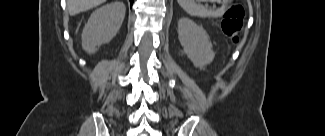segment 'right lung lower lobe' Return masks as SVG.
<instances>
[{
  "instance_id": "right-lung-lower-lobe-1",
  "label": "right lung lower lobe",
  "mask_w": 325,
  "mask_h": 136,
  "mask_svg": "<svg viewBox=\"0 0 325 136\" xmlns=\"http://www.w3.org/2000/svg\"><path fill=\"white\" fill-rule=\"evenodd\" d=\"M130 2H131V5L133 4V2H134V0H130Z\"/></svg>"
}]
</instances>
